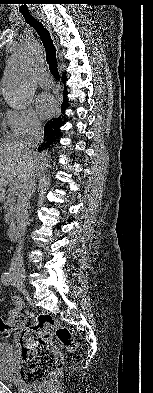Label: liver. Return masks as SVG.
Segmentation results:
<instances>
[{"label": "liver", "mask_w": 153, "mask_h": 393, "mask_svg": "<svg viewBox=\"0 0 153 393\" xmlns=\"http://www.w3.org/2000/svg\"><path fill=\"white\" fill-rule=\"evenodd\" d=\"M38 167V154L30 152L24 141L0 144V192L15 178L23 183Z\"/></svg>", "instance_id": "6515ba94"}]
</instances>
